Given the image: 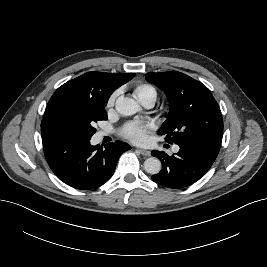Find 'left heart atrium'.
<instances>
[{"label":"left heart atrium","mask_w":267,"mask_h":267,"mask_svg":"<svg viewBox=\"0 0 267 267\" xmlns=\"http://www.w3.org/2000/svg\"><path fill=\"white\" fill-rule=\"evenodd\" d=\"M151 125L139 121H132L126 123L122 130L121 135L137 144H142L147 141Z\"/></svg>","instance_id":"39dd6f15"}]
</instances>
